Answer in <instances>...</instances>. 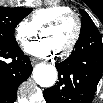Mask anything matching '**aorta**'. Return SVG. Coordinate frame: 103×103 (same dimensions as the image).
<instances>
[{"instance_id":"1","label":"aorta","mask_w":103,"mask_h":103,"mask_svg":"<svg viewBox=\"0 0 103 103\" xmlns=\"http://www.w3.org/2000/svg\"><path fill=\"white\" fill-rule=\"evenodd\" d=\"M33 78L41 87H51L57 80V70L53 65L39 64L33 70Z\"/></svg>"}]
</instances>
